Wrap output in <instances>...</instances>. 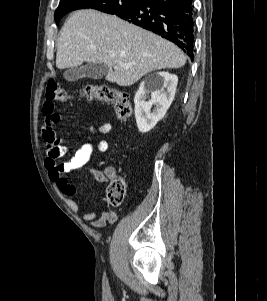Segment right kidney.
<instances>
[{
    "instance_id": "ca27d5eb",
    "label": "right kidney",
    "mask_w": 267,
    "mask_h": 301,
    "mask_svg": "<svg viewBox=\"0 0 267 301\" xmlns=\"http://www.w3.org/2000/svg\"><path fill=\"white\" fill-rule=\"evenodd\" d=\"M178 77L168 72H158L149 81L141 83L135 94V118L140 132L150 131L166 114L176 92ZM151 99L146 101L147 94ZM152 105H155L151 113Z\"/></svg>"
}]
</instances>
